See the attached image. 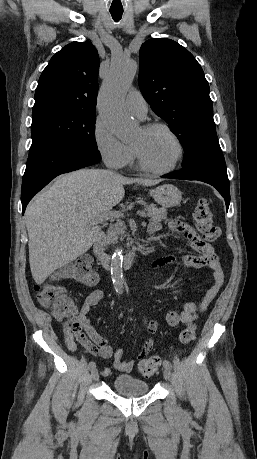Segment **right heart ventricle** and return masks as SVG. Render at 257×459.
Segmentation results:
<instances>
[{
  "label": "right heart ventricle",
  "mask_w": 257,
  "mask_h": 459,
  "mask_svg": "<svg viewBox=\"0 0 257 459\" xmlns=\"http://www.w3.org/2000/svg\"><path fill=\"white\" fill-rule=\"evenodd\" d=\"M135 157H136V156H135V153H134V149L132 148V158H131V161H130L131 164H134V162H135Z\"/></svg>",
  "instance_id": "e07e8e85"
}]
</instances>
